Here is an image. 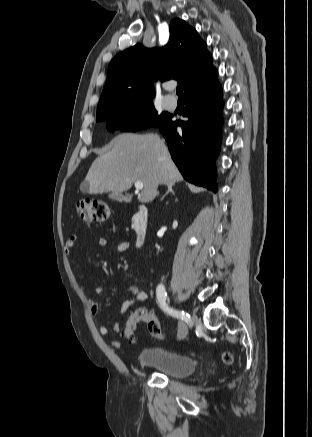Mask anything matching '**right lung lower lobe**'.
<instances>
[{
	"mask_svg": "<svg viewBox=\"0 0 312 437\" xmlns=\"http://www.w3.org/2000/svg\"><path fill=\"white\" fill-rule=\"evenodd\" d=\"M188 121L171 119L159 127L171 157L186 181L216 192L214 158L220 150L222 87L217 72L184 93ZM177 126L182 133H177Z\"/></svg>",
	"mask_w": 312,
	"mask_h": 437,
	"instance_id": "1",
	"label": "right lung lower lobe"
}]
</instances>
